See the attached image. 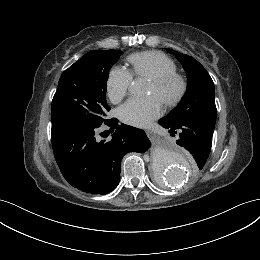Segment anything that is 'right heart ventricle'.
Masks as SVG:
<instances>
[{
    "label": "right heart ventricle",
    "instance_id": "right-heart-ventricle-1",
    "mask_svg": "<svg viewBox=\"0 0 260 260\" xmlns=\"http://www.w3.org/2000/svg\"><path fill=\"white\" fill-rule=\"evenodd\" d=\"M130 73L135 77L153 78L175 73L176 65L172 59L158 51H146L130 55L127 58Z\"/></svg>",
    "mask_w": 260,
    "mask_h": 260
}]
</instances>
